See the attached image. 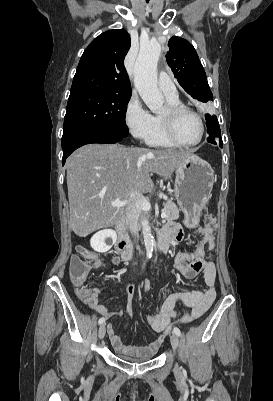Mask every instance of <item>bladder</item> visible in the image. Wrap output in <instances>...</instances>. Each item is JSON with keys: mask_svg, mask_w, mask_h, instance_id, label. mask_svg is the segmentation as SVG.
<instances>
[{"mask_svg": "<svg viewBox=\"0 0 273 401\" xmlns=\"http://www.w3.org/2000/svg\"><path fill=\"white\" fill-rule=\"evenodd\" d=\"M119 359L123 360V361H130V362H145V361H149L153 358V355H149V356H145V357H139V358H132L129 356H124V355H118L117 356Z\"/></svg>", "mask_w": 273, "mask_h": 401, "instance_id": "31cf9c89", "label": "bladder"}]
</instances>
